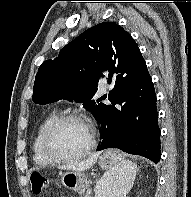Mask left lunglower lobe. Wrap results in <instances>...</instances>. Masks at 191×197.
<instances>
[{"mask_svg":"<svg viewBox=\"0 0 191 197\" xmlns=\"http://www.w3.org/2000/svg\"><path fill=\"white\" fill-rule=\"evenodd\" d=\"M108 83L114 85L108 96L112 104H104L96 117L102 126L98 150L118 148L158 163L161 146L156 94L147 67L116 74Z\"/></svg>","mask_w":191,"mask_h":197,"instance_id":"0a47b994","label":"left lung lower lobe"}]
</instances>
